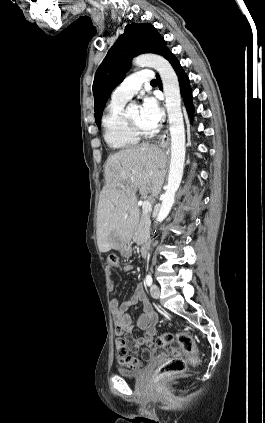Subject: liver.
Masks as SVG:
<instances>
[{
	"label": "liver",
	"instance_id": "obj_1",
	"mask_svg": "<svg viewBox=\"0 0 265 423\" xmlns=\"http://www.w3.org/2000/svg\"><path fill=\"white\" fill-rule=\"evenodd\" d=\"M166 156L157 145L142 143L110 155L105 164L106 192L98 206L100 252L119 249L138 215L136 191L156 197L165 178Z\"/></svg>",
	"mask_w": 265,
	"mask_h": 423
}]
</instances>
